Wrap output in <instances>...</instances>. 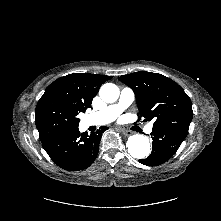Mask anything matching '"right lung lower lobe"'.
I'll return each instance as SVG.
<instances>
[{"label":"right lung lower lobe","mask_w":221,"mask_h":221,"mask_svg":"<svg viewBox=\"0 0 221 221\" xmlns=\"http://www.w3.org/2000/svg\"><path fill=\"white\" fill-rule=\"evenodd\" d=\"M101 127L96 133L88 135L79 129L57 135L42 142L44 149L52 161L68 171H79L88 168L95 160L99 151L102 132Z\"/></svg>","instance_id":"obj_1"}]
</instances>
